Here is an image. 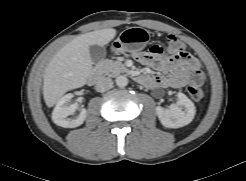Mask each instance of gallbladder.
Returning <instances> with one entry per match:
<instances>
[{"label":"gallbladder","mask_w":246,"mask_h":181,"mask_svg":"<svg viewBox=\"0 0 246 181\" xmlns=\"http://www.w3.org/2000/svg\"><path fill=\"white\" fill-rule=\"evenodd\" d=\"M91 60L94 64L99 63L106 56V49L103 46L91 45L89 47Z\"/></svg>","instance_id":"gallbladder-1"}]
</instances>
